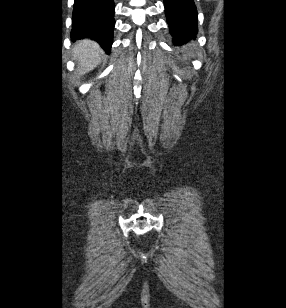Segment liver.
<instances>
[{
  "instance_id": "obj_1",
  "label": "liver",
  "mask_w": 286,
  "mask_h": 308,
  "mask_svg": "<svg viewBox=\"0 0 286 308\" xmlns=\"http://www.w3.org/2000/svg\"><path fill=\"white\" fill-rule=\"evenodd\" d=\"M103 52L99 45L89 39L78 41L74 48V59L78 62V75L93 70L100 62Z\"/></svg>"
}]
</instances>
